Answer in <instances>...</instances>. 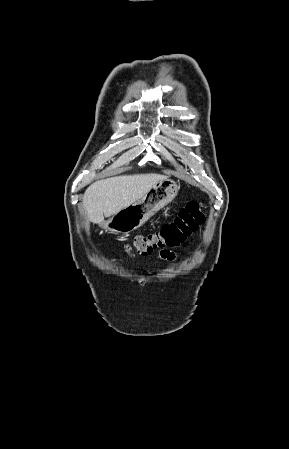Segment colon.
<instances>
[{"instance_id":"obj_1","label":"colon","mask_w":289,"mask_h":449,"mask_svg":"<svg viewBox=\"0 0 289 449\" xmlns=\"http://www.w3.org/2000/svg\"><path fill=\"white\" fill-rule=\"evenodd\" d=\"M204 220L202 205L191 201L179 211L173 221L154 233L136 236L124 250L128 254L148 255L157 249L176 247L196 231Z\"/></svg>"}]
</instances>
